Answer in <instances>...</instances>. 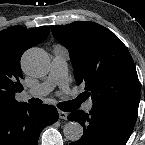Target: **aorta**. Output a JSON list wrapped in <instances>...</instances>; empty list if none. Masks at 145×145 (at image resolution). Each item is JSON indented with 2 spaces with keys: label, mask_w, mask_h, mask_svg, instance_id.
<instances>
[{
  "label": "aorta",
  "mask_w": 145,
  "mask_h": 145,
  "mask_svg": "<svg viewBox=\"0 0 145 145\" xmlns=\"http://www.w3.org/2000/svg\"><path fill=\"white\" fill-rule=\"evenodd\" d=\"M22 68L28 75L42 77L50 68V60L40 48L27 50L22 57ZM64 136L70 141H77L83 135V127L75 121L68 122L63 128Z\"/></svg>",
  "instance_id": "aorta-1"
}]
</instances>
